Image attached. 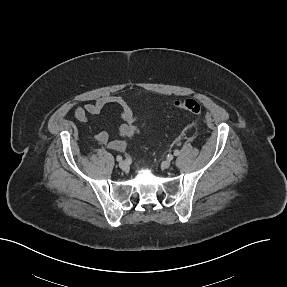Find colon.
<instances>
[{
	"label": "colon",
	"instance_id": "colon-1",
	"mask_svg": "<svg viewBox=\"0 0 287 287\" xmlns=\"http://www.w3.org/2000/svg\"><path fill=\"white\" fill-rule=\"evenodd\" d=\"M175 107L185 113L199 115L202 112V106L199 101L193 98H186L175 102Z\"/></svg>",
	"mask_w": 287,
	"mask_h": 287
}]
</instances>
